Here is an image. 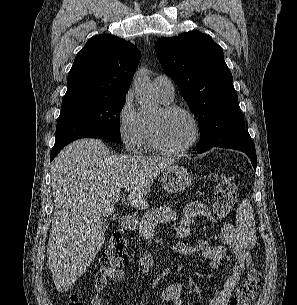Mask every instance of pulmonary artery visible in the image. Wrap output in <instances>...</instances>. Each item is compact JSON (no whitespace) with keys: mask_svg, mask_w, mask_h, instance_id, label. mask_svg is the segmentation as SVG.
Segmentation results:
<instances>
[{"mask_svg":"<svg viewBox=\"0 0 297 305\" xmlns=\"http://www.w3.org/2000/svg\"><path fill=\"white\" fill-rule=\"evenodd\" d=\"M154 91L162 96L164 99L171 101L175 95V89L172 80L166 75H159L154 78L153 82Z\"/></svg>","mask_w":297,"mask_h":305,"instance_id":"obj_1","label":"pulmonary artery"}]
</instances>
